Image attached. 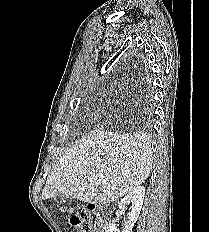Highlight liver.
Wrapping results in <instances>:
<instances>
[{
  "label": "liver",
  "mask_w": 209,
  "mask_h": 232,
  "mask_svg": "<svg viewBox=\"0 0 209 232\" xmlns=\"http://www.w3.org/2000/svg\"><path fill=\"white\" fill-rule=\"evenodd\" d=\"M151 170L147 135L98 130L64 152L41 195L43 200L64 194L91 204L110 203L142 184Z\"/></svg>",
  "instance_id": "liver-1"
}]
</instances>
